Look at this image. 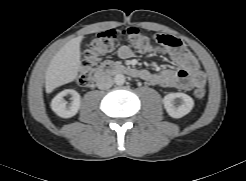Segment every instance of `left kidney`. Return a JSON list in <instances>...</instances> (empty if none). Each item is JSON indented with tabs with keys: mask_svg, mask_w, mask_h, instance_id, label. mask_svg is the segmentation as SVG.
<instances>
[{
	"mask_svg": "<svg viewBox=\"0 0 246 181\" xmlns=\"http://www.w3.org/2000/svg\"><path fill=\"white\" fill-rule=\"evenodd\" d=\"M179 98L181 104L176 106L175 99ZM163 105L169 116L181 118L187 115L194 106L193 99L184 93H169L163 98Z\"/></svg>",
	"mask_w": 246,
	"mask_h": 181,
	"instance_id": "5707ae66",
	"label": "left kidney"
}]
</instances>
